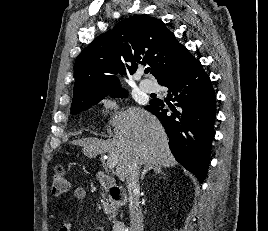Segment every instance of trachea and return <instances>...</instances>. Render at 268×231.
<instances>
[{
  "label": "trachea",
  "instance_id": "3493384b",
  "mask_svg": "<svg viewBox=\"0 0 268 231\" xmlns=\"http://www.w3.org/2000/svg\"><path fill=\"white\" fill-rule=\"evenodd\" d=\"M150 72V68L145 69V74H148Z\"/></svg>",
  "mask_w": 268,
  "mask_h": 231
}]
</instances>
